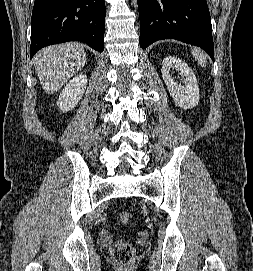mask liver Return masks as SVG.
Returning a JSON list of instances; mask_svg holds the SVG:
<instances>
[{
    "label": "liver",
    "instance_id": "6515ba94",
    "mask_svg": "<svg viewBox=\"0 0 253 271\" xmlns=\"http://www.w3.org/2000/svg\"><path fill=\"white\" fill-rule=\"evenodd\" d=\"M86 53L78 43L54 45L42 49L34 65L46 93L57 92L85 65Z\"/></svg>",
    "mask_w": 253,
    "mask_h": 271
}]
</instances>
